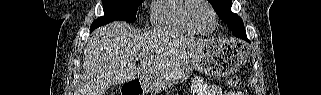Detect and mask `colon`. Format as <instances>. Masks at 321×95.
I'll return each instance as SVG.
<instances>
[{"mask_svg":"<svg viewBox=\"0 0 321 95\" xmlns=\"http://www.w3.org/2000/svg\"><path fill=\"white\" fill-rule=\"evenodd\" d=\"M227 85L232 88H238L241 85V79L238 76L230 77L227 80Z\"/></svg>","mask_w":321,"mask_h":95,"instance_id":"colon-1","label":"colon"}]
</instances>
